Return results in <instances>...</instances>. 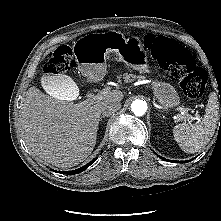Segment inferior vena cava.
Returning a JSON list of instances; mask_svg holds the SVG:
<instances>
[{"label":"inferior vena cava","instance_id":"1","mask_svg":"<svg viewBox=\"0 0 221 221\" xmlns=\"http://www.w3.org/2000/svg\"><path fill=\"white\" fill-rule=\"evenodd\" d=\"M120 108H121L120 102H108L102 107L101 113L103 116H110L115 112H117Z\"/></svg>","mask_w":221,"mask_h":221}]
</instances>
